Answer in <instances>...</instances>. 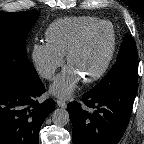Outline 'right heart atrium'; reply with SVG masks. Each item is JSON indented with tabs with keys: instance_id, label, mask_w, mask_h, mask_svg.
I'll return each instance as SVG.
<instances>
[{
	"instance_id": "d8ad5b80",
	"label": "right heart atrium",
	"mask_w": 144,
	"mask_h": 144,
	"mask_svg": "<svg viewBox=\"0 0 144 144\" xmlns=\"http://www.w3.org/2000/svg\"><path fill=\"white\" fill-rule=\"evenodd\" d=\"M31 60L41 77L52 80L56 71L64 64V56L48 43H36L31 49Z\"/></svg>"
}]
</instances>
